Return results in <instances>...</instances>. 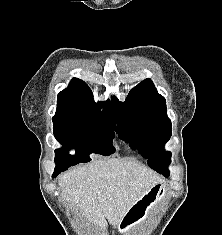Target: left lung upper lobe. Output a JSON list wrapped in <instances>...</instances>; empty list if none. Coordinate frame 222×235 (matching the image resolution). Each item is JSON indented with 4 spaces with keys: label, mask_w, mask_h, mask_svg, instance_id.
Wrapping results in <instances>:
<instances>
[{
    "label": "left lung upper lobe",
    "mask_w": 222,
    "mask_h": 235,
    "mask_svg": "<svg viewBox=\"0 0 222 235\" xmlns=\"http://www.w3.org/2000/svg\"><path fill=\"white\" fill-rule=\"evenodd\" d=\"M113 104L119 135L149 158L152 169L168 177L171 153L164 151V145L171 137V120L166 100L158 94L151 79L134 87L124 102L113 98Z\"/></svg>",
    "instance_id": "obj_1"
}]
</instances>
